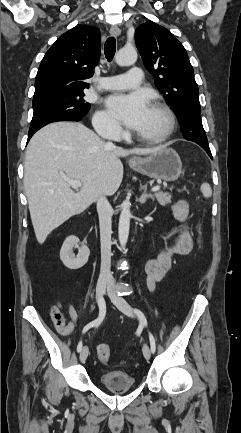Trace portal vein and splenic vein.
Listing matches in <instances>:
<instances>
[{"label":"portal vein and splenic vein","instance_id":"1","mask_svg":"<svg viewBox=\"0 0 241 433\" xmlns=\"http://www.w3.org/2000/svg\"><path fill=\"white\" fill-rule=\"evenodd\" d=\"M63 179L73 188V189H78L79 187H81L82 183L80 181L77 180H73L67 177H63ZM152 192H157L160 190V186H154L152 189Z\"/></svg>","mask_w":241,"mask_h":433}]
</instances>
